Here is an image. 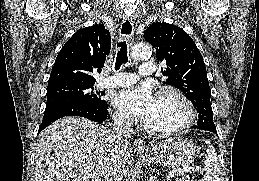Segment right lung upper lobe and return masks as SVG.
<instances>
[{
  "label": "right lung upper lobe",
  "mask_w": 259,
  "mask_h": 181,
  "mask_svg": "<svg viewBox=\"0 0 259 181\" xmlns=\"http://www.w3.org/2000/svg\"><path fill=\"white\" fill-rule=\"evenodd\" d=\"M111 49V37L104 25L77 31L60 50L48 86L61 83L94 84L93 70L104 67Z\"/></svg>",
  "instance_id": "cb5924a9"
}]
</instances>
